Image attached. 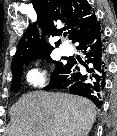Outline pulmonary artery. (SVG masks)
I'll use <instances>...</instances> for the list:
<instances>
[{"label": "pulmonary artery", "mask_w": 117, "mask_h": 136, "mask_svg": "<svg viewBox=\"0 0 117 136\" xmlns=\"http://www.w3.org/2000/svg\"><path fill=\"white\" fill-rule=\"evenodd\" d=\"M61 53L64 55H68L72 53V48L71 47H61Z\"/></svg>", "instance_id": "1"}]
</instances>
